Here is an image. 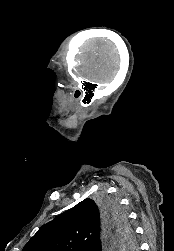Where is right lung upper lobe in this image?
Wrapping results in <instances>:
<instances>
[{
	"label": "right lung upper lobe",
	"instance_id": "obj_1",
	"mask_svg": "<svg viewBox=\"0 0 174 251\" xmlns=\"http://www.w3.org/2000/svg\"><path fill=\"white\" fill-rule=\"evenodd\" d=\"M104 216L89 198L43 225L22 251H102L117 250L121 242L111 240L102 248Z\"/></svg>",
	"mask_w": 174,
	"mask_h": 251
}]
</instances>
